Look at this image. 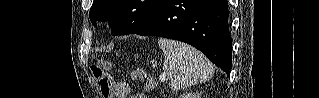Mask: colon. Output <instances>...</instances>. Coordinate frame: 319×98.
I'll return each mask as SVG.
<instances>
[{"mask_svg":"<svg viewBox=\"0 0 319 98\" xmlns=\"http://www.w3.org/2000/svg\"><path fill=\"white\" fill-rule=\"evenodd\" d=\"M105 66H108V63H104ZM92 74L95 80L98 83L101 93L105 98H110L112 94L111 89V80L105 73V70L99 65H93L91 67ZM144 72L142 70H136L132 73V77L136 80L144 78ZM156 87V80L153 77H149L144 85V88L148 91L154 90Z\"/></svg>","mask_w":319,"mask_h":98,"instance_id":"5ec220e1","label":"colon"}]
</instances>
